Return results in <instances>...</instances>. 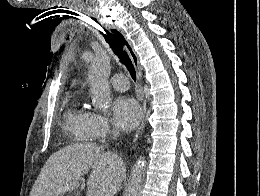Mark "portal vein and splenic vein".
I'll use <instances>...</instances> for the list:
<instances>
[{"mask_svg":"<svg viewBox=\"0 0 260 196\" xmlns=\"http://www.w3.org/2000/svg\"><path fill=\"white\" fill-rule=\"evenodd\" d=\"M76 188H80L79 182H77V184H68L66 188H60L57 194H64V192H68V190H76Z\"/></svg>","mask_w":260,"mask_h":196,"instance_id":"obj_1","label":"portal vein and splenic vein"}]
</instances>
